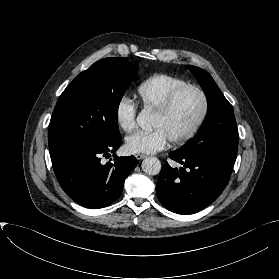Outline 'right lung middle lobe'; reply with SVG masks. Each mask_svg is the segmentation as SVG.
Wrapping results in <instances>:
<instances>
[{
	"label": "right lung middle lobe",
	"mask_w": 279,
	"mask_h": 279,
	"mask_svg": "<svg viewBox=\"0 0 279 279\" xmlns=\"http://www.w3.org/2000/svg\"><path fill=\"white\" fill-rule=\"evenodd\" d=\"M137 69L138 65L127 59L109 57L80 73L63 91L53 111L48 134L50 156L120 136L118 107Z\"/></svg>",
	"instance_id": "1"
}]
</instances>
